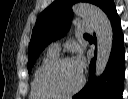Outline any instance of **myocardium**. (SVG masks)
Listing matches in <instances>:
<instances>
[{
	"mask_svg": "<svg viewBox=\"0 0 128 99\" xmlns=\"http://www.w3.org/2000/svg\"><path fill=\"white\" fill-rule=\"evenodd\" d=\"M68 61H74V60L71 57H58L42 68V70L40 71L39 76H38V86L41 91H43L53 97H70V96L75 95L82 89V87L85 84V76L82 72H81V80H80L79 84L72 90L60 91V90L53 89L46 84L45 79H46V76L48 75V73L51 72L52 70L56 69L62 63L68 62Z\"/></svg>",
	"mask_w": 128,
	"mask_h": 99,
	"instance_id": "myocardium-1",
	"label": "myocardium"
}]
</instances>
